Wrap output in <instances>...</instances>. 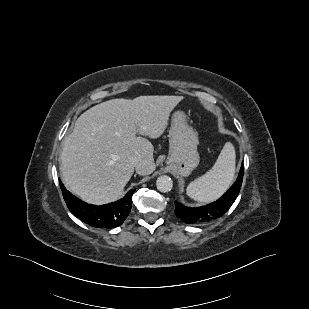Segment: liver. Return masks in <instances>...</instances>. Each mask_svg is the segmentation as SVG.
I'll return each mask as SVG.
<instances>
[{
    "label": "liver",
    "mask_w": 309,
    "mask_h": 309,
    "mask_svg": "<svg viewBox=\"0 0 309 309\" xmlns=\"http://www.w3.org/2000/svg\"><path fill=\"white\" fill-rule=\"evenodd\" d=\"M182 100V96L119 98L81 114L73 132L64 139L60 155L66 188L91 204L119 199L134 172L132 157L140 160L139 175L156 169L154 147L142 136L160 137L171 111Z\"/></svg>",
    "instance_id": "1"
}]
</instances>
